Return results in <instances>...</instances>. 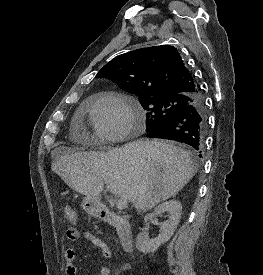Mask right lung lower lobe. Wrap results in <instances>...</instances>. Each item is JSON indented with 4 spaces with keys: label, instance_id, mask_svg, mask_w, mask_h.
I'll return each instance as SVG.
<instances>
[{
    "label": "right lung lower lobe",
    "instance_id": "obj_1",
    "mask_svg": "<svg viewBox=\"0 0 263 275\" xmlns=\"http://www.w3.org/2000/svg\"><path fill=\"white\" fill-rule=\"evenodd\" d=\"M207 131L206 108L202 95L196 94L192 103L156 128L148 131L151 138L175 140L190 145L201 157Z\"/></svg>",
    "mask_w": 263,
    "mask_h": 275
}]
</instances>
